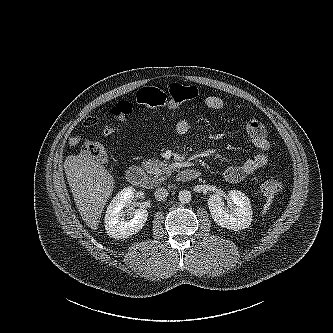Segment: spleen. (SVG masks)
Listing matches in <instances>:
<instances>
[{"label":"spleen","instance_id":"3e777b00","mask_svg":"<svg viewBox=\"0 0 333 333\" xmlns=\"http://www.w3.org/2000/svg\"><path fill=\"white\" fill-rule=\"evenodd\" d=\"M267 201L266 204L263 207V214L266 213L267 210H269L270 205L272 203V198H273V191L271 190L270 192H267Z\"/></svg>","mask_w":333,"mask_h":333}]
</instances>
